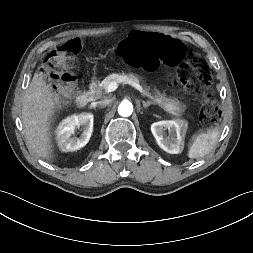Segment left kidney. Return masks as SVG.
<instances>
[{"label": "left kidney", "instance_id": "1", "mask_svg": "<svg viewBox=\"0 0 253 253\" xmlns=\"http://www.w3.org/2000/svg\"><path fill=\"white\" fill-rule=\"evenodd\" d=\"M186 128L187 122L184 120L159 121L151 125L152 134L158 145L170 154H178L182 151L183 134Z\"/></svg>", "mask_w": 253, "mask_h": 253}]
</instances>
